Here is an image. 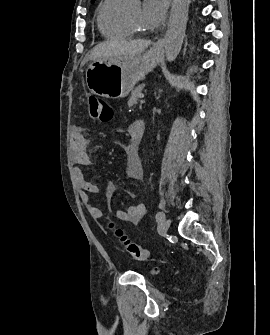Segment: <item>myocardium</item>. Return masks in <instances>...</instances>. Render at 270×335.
Wrapping results in <instances>:
<instances>
[{
    "label": "myocardium",
    "mask_w": 270,
    "mask_h": 335,
    "mask_svg": "<svg viewBox=\"0 0 270 335\" xmlns=\"http://www.w3.org/2000/svg\"><path fill=\"white\" fill-rule=\"evenodd\" d=\"M124 21H125V23L127 24V26H128L133 32H137V31H138V29L135 28V27L129 22V20H128L126 17H124Z\"/></svg>",
    "instance_id": "myocardium-1"
}]
</instances>
